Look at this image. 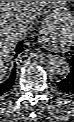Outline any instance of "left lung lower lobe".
<instances>
[{
    "label": "left lung lower lobe",
    "mask_w": 74,
    "mask_h": 122,
    "mask_svg": "<svg viewBox=\"0 0 74 122\" xmlns=\"http://www.w3.org/2000/svg\"><path fill=\"white\" fill-rule=\"evenodd\" d=\"M71 72L68 76L57 83L58 89L66 94H74V55L70 60Z\"/></svg>",
    "instance_id": "1"
}]
</instances>
